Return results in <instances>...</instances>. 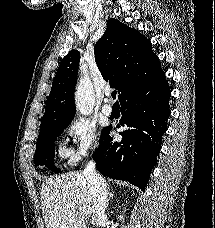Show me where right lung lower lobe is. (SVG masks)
Wrapping results in <instances>:
<instances>
[{"mask_svg":"<svg viewBox=\"0 0 215 228\" xmlns=\"http://www.w3.org/2000/svg\"><path fill=\"white\" fill-rule=\"evenodd\" d=\"M170 95L165 74L139 80L128 88L120 101L122 117L117 127L126 124L129 129L120 133V142H113L109 135L112 127H107L92 155L99 172L145 189L151 168L157 162L162 135L167 131Z\"/></svg>","mask_w":215,"mask_h":228,"instance_id":"right-lung-lower-lobe-1","label":"right lung lower lobe"}]
</instances>
